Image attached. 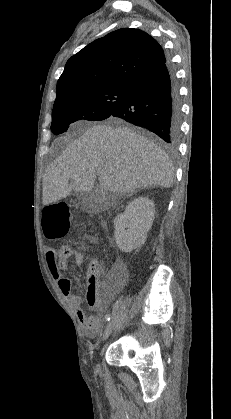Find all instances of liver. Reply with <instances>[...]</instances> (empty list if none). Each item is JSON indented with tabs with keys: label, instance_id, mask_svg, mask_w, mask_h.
I'll list each match as a JSON object with an SVG mask.
<instances>
[{
	"label": "liver",
	"instance_id": "1",
	"mask_svg": "<svg viewBox=\"0 0 231 419\" xmlns=\"http://www.w3.org/2000/svg\"><path fill=\"white\" fill-rule=\"evenodd\" d=\"M97 176L104 191L124 194L146 187L169 188L174 174L157 144L127 127L99 124L69 144L47 168L43 205L65 198L72 190L92 191Z\"/></svg>",
	"mask_w": 231,
	"mask_h": 419
}]
</instances>
